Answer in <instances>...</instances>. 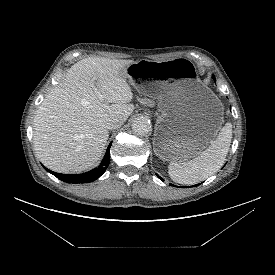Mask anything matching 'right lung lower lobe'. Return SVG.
Instances as JSON below:
<instances>
[{
	"label": "right lung lower lobe",
	"mask_w": 275,
	"mask_h": 275,
	"mask_svg": "<svg viewBox=\"0 0 275 275\" xmlns=\"http://www.w3.org/2000/svg\"><path fill=\"white\" fill-rule=\"evenodd\" d=\"M111 144H109L105 156L101 162V164L86 173L83 174H60V173H56L53 171L48 170L47 168H45L48 172H50L51 174H53L54 176H56L58 179L67 182V183H89L92 182L94 180H96L97 178H99L107 169L108 165H109V161H110V147Z\"/></svg>",
	"instance_id": "1"
}]
</instances>
